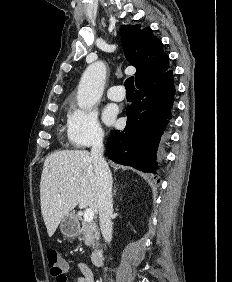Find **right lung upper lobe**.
<instances>
[{
	"label": "right lung upper lobe",
	"instance_id": "obj_1",
	"mask_svg": "<svg viewBox=\"0 0 232 282\" xmlns=\"http://www.w3.org/2000/svg\"><path fill=\"white\" fill-rule=\"evenodd\" d=\"M124 53L128 62L137 71L136 84L168 71L169 57L162 50V42L149 27L139 29V25H124L120 29Z\"/></svg>",
	"mask_w": 232,
	"mask_h": 282
}]
</instances>
